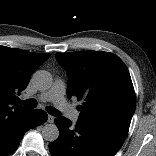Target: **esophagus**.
<instances>
[{
	"label": "esophagus",
	"mask_w": 156,
	"mask_h": 156,
	"mask_svg": "<svg viewBox=\"0 0 156 156\" xmlns=\"http://www.w3.org/2000/svg\"><path fill=\"white\" fill-rule=\"evenodd\" d=\"M54 119H55L54 116L48 115L47 122H48V123H53V122H54Z\"/></svg>",
	"instance_id": "34e87169"
}]
</instances>
